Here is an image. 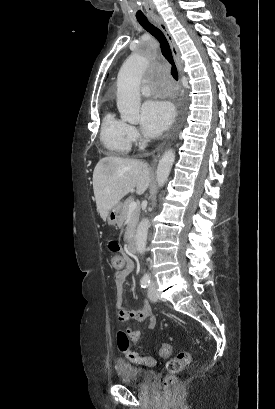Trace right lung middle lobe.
<instances>
[{"instance_id":"right-lung-middle-lobe-1","label":"right lung middle lobe","mask_w":275,"mask_h":409,"mask_svg":"<svg viewBox=\"0 0 275 409\" xmlns=\"http://www.w3.org/2000/svg\"><path fill=\"white\" fill-rule=\"evenodd\" d=\"M148 165L150 169H157L159 167V162L157 160H150Z\"/></svg>"}]
</instances>
